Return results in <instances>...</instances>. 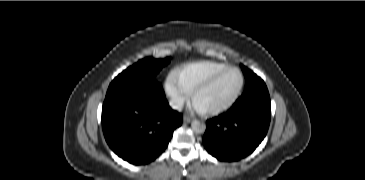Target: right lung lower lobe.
Masks as SVG:
<instances>
[{"instance_id":"98d812e1","label":"right lung lower lobe","mask_w":365,"mask_h":180,"mask_svg":"<svg viewBox=\"0 0 365 180\" xmlns=\"http://www.w3.org/2000/svg\"><path fill=\"white\" fill-rule=\"evenodd\" d=\"M182 119L169 107L162 86L154 81L131 82L107 91L102 107V128L108 145L135 165L157 158Z\"/></svg>"}]
</instances>
